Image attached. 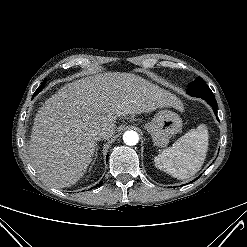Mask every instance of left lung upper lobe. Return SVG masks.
Instances as JSON below:
<instances>
[{
	"label": "left lung upper lobe",
	"mask_w": 247,
	"mask_h": 247,
	"mask_svg": "<svg viewBox=\"0 0 247 247\" xmlns=\"http://www.w3.org/2000/svg\"><path fill=\"white\" fill-rule=\"evenodd\" d=\"M186 93L193 97H214L211 89L201 77H198L194 82L190 83Z\"/></svg>",
	"instance_id": "5c2ea615"
}]
</instances>
